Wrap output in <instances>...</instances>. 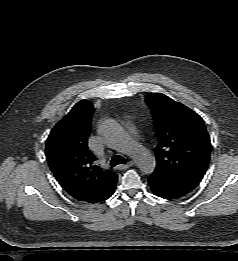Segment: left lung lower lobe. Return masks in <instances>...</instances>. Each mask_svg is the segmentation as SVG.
I'll use <instances>...</instances> for the list:
<instances>
[{
    "label": "left lung lower lobe",
    "mask_w": 238,
    "mask_h": 261,
    "mask_svg": "<svg viewBox=\"0 0 238 261\" xmlns=\"http://www.w3.org/2000/svg\"><path fill=\"white\" fill-rule=\"evenodd\" d=\"M148 185L155 195L164 199H177L186 195L152 175L148 177Z\"/></svg>",
    "instance_id": "0a47b994"
}]
</instances>
